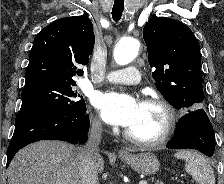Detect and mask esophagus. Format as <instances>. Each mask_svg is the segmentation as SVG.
<instances>
[{"mask_svg":"<svg viewBox=\"0 0 224 184\" xmlns=\"http://www.w3.org/2000/svg\"><path fill=\"white\" fill-rule=\"evenodd\" d=\"M118 154L121 156H127L129 152L126 149L122 148L119 150Z\"/></svg>","mask_w":224,"mask_h":184,"instance_id":"1","label":"esophagus"}]
</instances>
